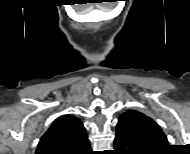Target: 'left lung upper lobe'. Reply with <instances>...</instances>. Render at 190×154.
Instances as JSON below:
<instances>
[{"label":"left lung upper lobe","instance_id":"obj_1","mask_svg":"<svg viewBox=\"0 0 190 154\" xmlns=\"http://www.w3.org/2000/svg\"><path fill=\"white\" fill-rule=\"evenodd\" d=\"M125 116H131L137 131L146 138L154 141H158L161 144L168 145L166 135L163 133L160 126L145 114L136 111L128 110L123 113L120 118Z\"/></svg>","mask_w":190,"mask_h":154}]
</instances>
